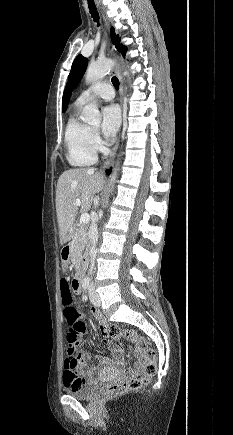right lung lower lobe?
Wrapping results in <instances>:
<instances>
[{
  "label": "right lung lower lobe",
  "instance_id": "98d812e1",
  "mask_svg": "<svg viewBox=\"0 0 233 435\" xmlns=\"http://www.w3.org/2000/svg\"><path fill=\"white\" fill-rule=\"evenodd\" d=\"M110 172H111V169L106 170V173H107L108 175L110 174Z\"/></svg>",
  "mask_w": 233,
  "mask_h": 435
}]
</instances>
